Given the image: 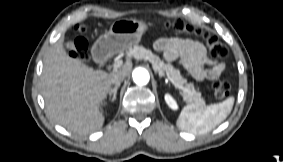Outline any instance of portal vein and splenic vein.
Wrapping results in <instances>:
<instances>
[{
  "instance_id": "18ae733b",
  "label": "portal vein and splenic vein",
  "mask_w": 283,
  "mask_h": 162,
  "mask_svg": "<svg viewBox=\"0 0 283 162\" xmlns=\"http://www.w3.org/2000/svg\"><path fill=\"white\" fill-rule=\"evenodd\" d=\"M123 65V62L122 61H116L114 64H113V68L114 69H117V68H120L121 66ZM170 81L173 83V85L178 88V89H181V90H185V88L181 85H178L174 82L173 79L169 78Z\"/></svg>"
}]
</instances>
